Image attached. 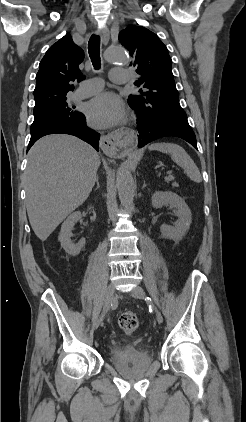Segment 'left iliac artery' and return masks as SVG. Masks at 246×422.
Returning a JSON list of instances; mask_svg holds the SVG:
<instances>
[{"mask_svg":"<svg viewBox=\"0 0 246 422\" xmlns=\"http://www.w3.org/2000/svg\"><path fill=\"white\" fill-rule=\"evenodd\" d=\"M147 300L149 301V300H151L150 298H147Z\"/></svg>","mask_w":246,"mask_h":422,"instance_id":"left-iliac-artery-1","label":"left iliac artery"}]
</instances>
